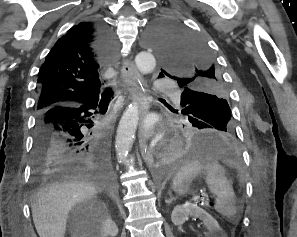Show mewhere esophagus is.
<instances>
[{
    "label": "esophagus",
    "instance_id": "34e87169",
    "mask_svg": "<svg viewBox=\"0 0 297 237\" xmlns=\"http://www.w3.org/2000/svg\"><path fill=\"white\" fill-rule=\"evenodd\" d=\"M121 78L124 83L125 89L129 92V94L137 99L139 103V109H140V114L141 118L143 119L144 115L148 111V104L145 98V95L139 86V80H138V72L134 65L129 61L125 60L123 62V66L121 69ZM139 146H140V151L142 154V157L144 161L146 162L147 165H152L154 162V157L147 146L145 137H144V131L141 128L140 133H139Z\"/></svg>",
    "mask_w": 297,
    "mask_h": 237
}]
</instances>
